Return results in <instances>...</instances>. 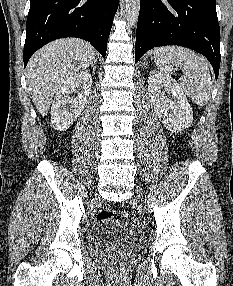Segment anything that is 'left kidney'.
Masks as SVG:
<instances>
[{"label": "left kidney", "mask_w": 233, "mask_h": 286, "mask_svg": "<svg viewBox=\"0 0 233 286\" xmlns=\"http://www.w3.org/2000/svg\"><path fill=\"white\" fill-rule=\"evenodd\" d=\"M147 82L154 111L165 128L172 133L189 128L193 111L181 87L171 77L156 70L150 72Z\"/></svg>", "instance_id": "obj_1"}]
</instances>
